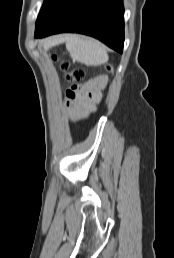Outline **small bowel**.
Returning <instances> with one entry per match:
<instances>
[{
	"instance_id": "small-bowel-1",
	"label": "small bowel",
	"mask_w": 174,
	"mask_h": 258,
	"mask_svg": "<svg viewBox=\"0 0 174 258\" xmlns=\"http://www.w3.org/2000/svg\"><path fill=\"white\" fill-rule=\"evenodd\" d=\"M107 77L104 75L96 76L90 79L79 91L75 99L67 97V107L73 119L84 116L87 112L92 111L94 105H101L103 97L100 91L107 85Z\"/></svg>"
}]
</instances>
